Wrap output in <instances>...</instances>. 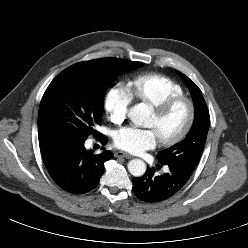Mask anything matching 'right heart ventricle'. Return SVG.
Listing matches in <instances>:
<instances>
[{
	"instance_id": "1",
	"label": "right heart ventricle",
	"mask_w": 248,
	"mask_h": 248,
	"mask_svg": "<svg viewBox=\"0 0 248 248\" xmlns=\"http://www.w3.org/2000/svg\"><path fill=\"white\" fill-rule=\"evenodd\" d=\"M128 91L132 98L152 106L167 98L184 95V89L178 82L160 74H141L133 77L128 82Z\"/></svg>"
}]
</instances>
